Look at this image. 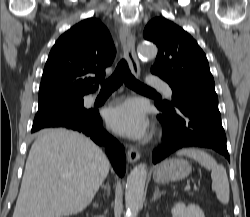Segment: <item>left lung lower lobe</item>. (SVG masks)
<instances>
[{"mask_svg":"<svg viewBox=\"0 0 250 217\" xmlns=\"http://www.w3.org/2000/svg\"><path fill=\"white\" fill-rule=\"evenodd\" d=\"M155 104L162 112L157 118L163 126V143L153 151L154 164L187 147L210 148L230 160L217 96L185 97L173 109Z\"/></svg>","mask_w":250,"mask_h":217,"instance_id":"0a47b994","label":"left lung lower lobe"}]
</instances>
